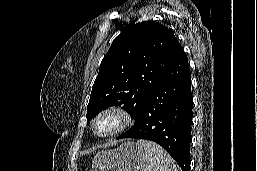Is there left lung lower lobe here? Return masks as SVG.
<instances>
[{
  "instance_id": "left-lung-lower-lobe-1",
  "label": "left lung lower lobe",
  "mask_w": 257,
  "mask_h": 171,
  "mask_svg": "<svg viewBox=\"0 0 257 171\" xmlns=\"http://www.w3.org/2000/svg\"><path fill=\"white\" fill-rule=\"evenodd\" d=\"M191 73L181 49L146 102L134 126L117 137L147 139L161 145L182 171L190 169Z\"/></svg>"
}]
</instances>
